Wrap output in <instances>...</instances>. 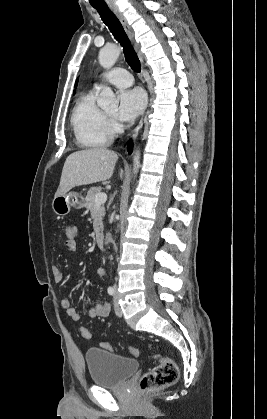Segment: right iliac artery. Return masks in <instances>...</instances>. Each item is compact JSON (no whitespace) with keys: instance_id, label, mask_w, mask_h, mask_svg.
Returning a JSON list of instances; mask_svg holds the SVG:
<instances>
[{"instance_id":"1","label":"right iliac artery","mask_w":267,"mask_h":419,"mask_svg":"<svg viewBox=\"0 0 267 419\" xmlns=\"http://www.w3.org/2000/svg\"><path fill=\"white\" fill-rule=\"evenodd\" d=\"M107 291L109 295H113L115 293V289L113 287H109Z\"/></svg>"}]
</instances>
